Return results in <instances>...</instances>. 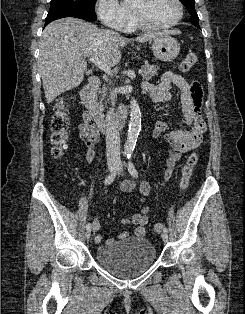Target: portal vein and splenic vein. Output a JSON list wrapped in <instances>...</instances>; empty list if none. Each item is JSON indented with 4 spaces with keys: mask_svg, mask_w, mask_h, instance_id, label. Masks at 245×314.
<instances>
[{
    "mask_svg": "<svg viewBox=\"0 0 245 314\" xmlns=\"http://www.w3.org/2000/svg\"><path fill=\"white\" fill-rule=\"evenodd\" d=\"M89 60L108 75H112L111 68L108 66V64L99 59L98 57L92 56L89 58ZM142 72H143L142 69L138 70V74H142Z\"/></svg>",
    "mask_w": 245,
    "mask_h": 314,
    "instance_id": "18ae733b",
    "label": "portal vein and splenic vein"
}]
</instances>
